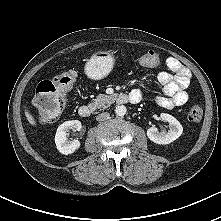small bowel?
<instances>
[{
  "label": "small bowel",
  "instance_id": "obj_1",
  "mask_svg": "<svg viewBox=\"0 0 221 221\" xmlns=\"http://www.w3.org/2000/svg\"><path fill=\"white\" fill-rule=\"evenodd\" d=\"M166 64L171 73L159 74L158 81L163 86L164 95L157 96L156 102L164 108L184 105L188 101L186 89L190 84V73L175 58H168ZM130 96H135L140 101L143 93L141 90L135 89L131 91Z\"/></svg>",
  "mask_w": 221,
  "mask_h": 221
}]
</instances>
